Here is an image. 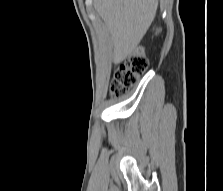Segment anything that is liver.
Returning <instances> with one entry per match:
<instances>
[{"label":"liver","instance_id":"obj_1","mask_svg":"<svg viewBox=\"0 0 223 191\" xmlns=\"http://www.w3.org/2000/svg\"><path fill=\"white\" fill-rule=\"evenodd\" d=\"M158 0H94V8L111 33L113 62L130 55L151 25Z\"/></svg>","mask_w":223,"mask_h":191}]
</instances>
